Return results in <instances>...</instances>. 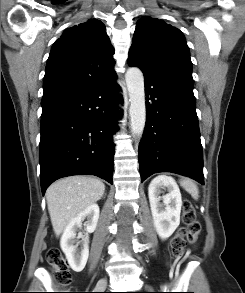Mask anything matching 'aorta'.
Segmentation results:
<instances>
[{"mask_svg": "<svg viewBox=\"0 0 245 293\" xmlns=\"http://www.w3.org/2000/svg\"><path fill=\"white\" fill-rule=\"evenodd\" d=\"M130 100V126L134 136H141L146 122L144 77L137 67H130L125 74Z\"/></svg>", "mask_w": 245, "mask_h": 293, "instance_id": "1", "label": "aorta"}]
</instances>
